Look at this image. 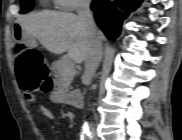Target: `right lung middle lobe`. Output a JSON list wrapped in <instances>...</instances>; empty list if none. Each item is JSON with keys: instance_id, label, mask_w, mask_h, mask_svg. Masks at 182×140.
Wrapping results in <instances>:
<instances>
[{"instance_id": "right-lung-middle-lobe-1", "label": "right lung middle lobe", "mask_w": 182, "mask_h": 140, "mask_svg": "<svg viewBox=\"0 0 182 140\" xmlns=\"http://www.w3.org/2000/svg\"><path fill=\"white\" fill-rule=\"evenodd\" d=\"M21 2V14L27 13L33 7V0H22Z\"/></svg>"}]
</instances>
